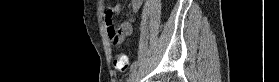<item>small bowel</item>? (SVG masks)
Returning <instances> with one entry per match:
<instances>
[{"label":"small bowel","instance_id":"1","mask_svg":"<svg viewBox=\"0 0 279 82\" xmlns=\"http://www.w3.org/2000/svg\"><path fill=\"white\" fill-rule=\"evenodd\" d=\"M142 6V0H131L132 18L122 22L118 26H114L111 21V16L119 14L121 7L116 4L110 7L106 12L107 33L110 44L120 45L123 41L132 34L134 19Z\"/></svg>","mask_w":279,"mask_h":82}]
</instances>
